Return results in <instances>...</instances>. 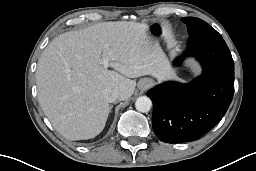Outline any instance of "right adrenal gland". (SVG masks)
<instances>
[{
	"label": "right adrenal gland",
	"instance_id": "obj_1",
	"mask_svg": "<svg viewBox=\"0 0 256 171\" xmlns=\"http://www.w3.org/2000/svg\"><path fill=\"white\" fill-rule=\"evenodd\" d=\"M111 109H112V106H110V110H109V112H111Z\"/></svg>",
	"mask_w": 256,
	"mask_h": 171
}]
</instances>
